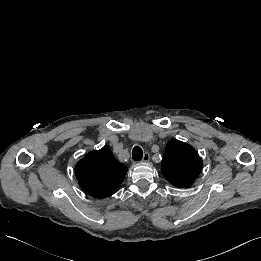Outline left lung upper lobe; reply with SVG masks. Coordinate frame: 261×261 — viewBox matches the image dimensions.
Returning <instances> with one entry per match:
<instances>
[{"mask_svg":"<svg viewBox=\"0 0 261 261\" xmlns=\"http://www.w3.org/2000/svg\"><path fill=\"white\" fill-rule=\"evenodd\" d=\"M161 163L164 177L176 187L192 185L202 170V160L196 150L176 139L168 142Z\"/></svg>","mask_w":261,"mask_h":261,"instance_id":"left-lung-upper-lobe-1","label":"left lung upper lobe"}]
</instances>
